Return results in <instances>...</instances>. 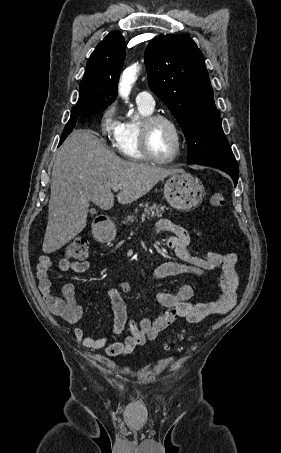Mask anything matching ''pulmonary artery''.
<instances>
[{"instance_id":"e3ab8cb5","label":"pulmonary artery","mask_w":281,"mask_h":453,"mask_svg":"<svg viewBox=\"0 0 281 453\" xmlns=\"http://www.w3.org/2000/svg\"><path fill=\"white\" fill-rule=\"evenodd\" d=\"M136 101H138L140 103H145L146 106L149 107V108H153L154 105H155V102H154L151 94L148 93V92H140L136 96Z\"/></svg>"}]
</instances>
